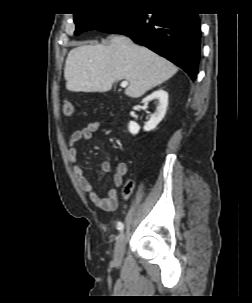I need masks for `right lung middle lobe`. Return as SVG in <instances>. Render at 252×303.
Listing matches in <instances>:
<instances>
[{
  "label": "right lung middle lobe",
  "instance_id": "dd1d6c3e",
  "mask_svg": "<svg viewBox=\"0 0 252 303\" xmlns=\"http://www.w3.org/2000/svg\"><path fill=\"white\" fill-rule=\"evenodd\" d=\"M126 13H91V14H74L76 24L75 35L88 30H98L110 23L119 20Z\"/></svg>",
  "mask_w": 252,
  "mask_h": 303
}]
</instances>
